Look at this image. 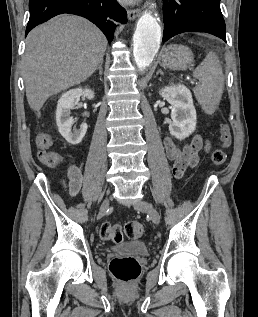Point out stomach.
Here are the masks:
<instances>
[{
  "label": "stomach",
  "mask_w": 258,
  "mask_h": 317,
  "mask_svg": "<svg viewBox=\"0 0 258 317\" xmlns=\"http://www.w3.org/2000/svg\"><path fill=\"white\" fill-rule=\"evenodd\" d=\"M160 62L162 66H168L173 70H187L193 66V52L185 44H169L164 46L160 52Z\"/></svg>",
  "instance_id": "1"
}]
</instances>
